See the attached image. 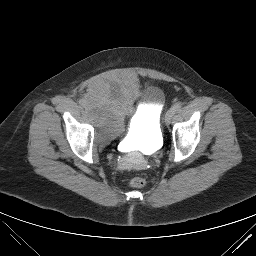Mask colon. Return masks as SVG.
Masks as SVG:
<instances>
[{
  "mask_svg": "<svg viewBox=\"0 0 256 256\" xmlns=\"http://www.w3.org/2000/svg\"><path fill=\"white\" fill-rule=\"evenodd\" d=\"M129 185L132 188H142L146 185V179L141 176L134 177L130 180Z\"/></svg>",
  "mask_w": 256,
  "mask_h": 256,
  "instance_id": "1",
  "label": "colon"
}]
</instances>
